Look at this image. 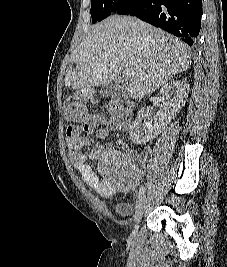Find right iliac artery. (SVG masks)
<instances>
[{
    "instance_id": "right-iliac-artery-1",
    "label": "right iliac artery",
    "mask_w": 227,
    "mask_h": 267,
    "mask_svg": "<svg viewBox=\"0 0 227 267\" xmlns=\"http://www.w3.org/2000/svg\"><path fill=\"white\" fill-rule=\"evenodd\" d=\"M145 192V186L141 187L139 193H138V199L136 201V203L138 204V202L140 201V199L142 198L143 194Z\"/></svg>"
}]
</instances>
